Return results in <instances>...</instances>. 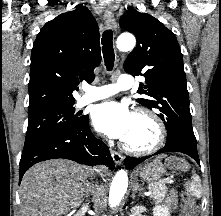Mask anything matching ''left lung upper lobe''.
I'll use <instances>...</instances> for the list:
<instances>
[{
	"mask_svg": "<svg viewBox=\"0 0 221 216\" xmlns=\"http://www.w3.org/2000/svg\"><path fill=\"white\" fill-rule=\"evenodd\" d=\"M123 29L137 39L135 49L124 62V70L145 77L138 93L152 99H138L155 110L167 129V142L196 144L189 109V93L182 53L175 35L153 16L128 9L121 17Z\"/></svg>",
	"mask_w": 221,
	"mask_h": 216,
	"instance_id": "5c2ea615",
	"label": "left lung upper lobe"
}]
</instances>
